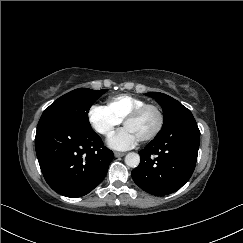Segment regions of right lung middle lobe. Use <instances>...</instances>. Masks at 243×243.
<instances>
[{
  "label": "right lung middle lobe",
  "mask_w": 243,
  "mask_h": 243,
  "mask_svg": "<svg viewBox=\"0 0 243 243\" xmlns=\"http://www.w3.org/2000/svg\"><path fill=\"white\" fill-rule=\"evenodd\" d=\"M106 91L80 88L61 96L44 110L37 129L58 124L92 130L88 119L89 109Z\"/></svg>",
  "instance_id": "1"
}]
</instances>
